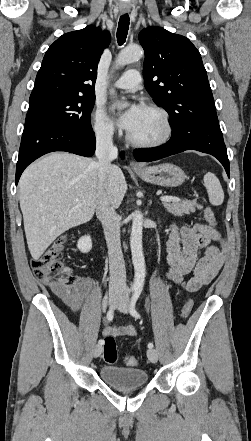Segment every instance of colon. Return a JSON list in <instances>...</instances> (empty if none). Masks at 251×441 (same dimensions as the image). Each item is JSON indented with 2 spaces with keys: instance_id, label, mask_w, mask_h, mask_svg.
Instances as JSON below:
<instances>
[{
  "instance_id": "5ec220e1",
  "label": "colon",
  "mask_w": 251,
  "mask_h": 441,
  "mask_svg": "<svg viewBox=\"0 0 251 441\" xmlns=\"http://www.w3.org/2000/svg\"><path fill=\"white\" fill-rule=\"evenodd\" d=\"M204 218L212 225L216 223L215 214L209 207L204 211ZM67 241V236L58 237L40 257L33 259L31 262L35 277L49 284L57 291L69 290L80 281V277L74 274L73 271L62 262V253ZM192 309L193 300L188 299L181 311L182 318H187L192 312ZM103 356L105 362L108 364H115L117 362L118 353L113 336L105 337ZM125 362L130 367L137 365V359L133 356H128Z\"/></svg>"
}]
</instances>
